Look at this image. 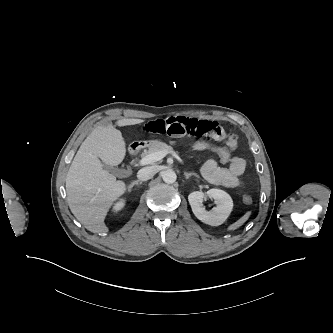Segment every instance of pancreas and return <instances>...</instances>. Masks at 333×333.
I'll return each mask as SVG.
<instances>
[{
	"label": "pancreas",
	"instance_id": "pancreas-1",
	"mask_svg": "<svg viewBox=\"0 0 333 333\" xmlns=\"http://www.w3.org/2000/svg\"><path fill=\"white\" fill-rule=\"evenodd\" d=\"M157 151L175 152L171 146L167 145L164 142L157 141V142L152 143L148 147V150L144 151V153L142 154V156H146V155H148L150 153H154V152H157Z\"/></svg>",
	"mask_w": 333,
	"mask_h": 333
}]
</instances>
